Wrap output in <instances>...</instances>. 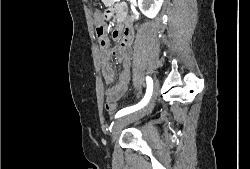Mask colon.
<instances>
[{
    "mask_svg": "<svg viewBox=\"0 0 250 169\" xmlns=\"http://www.w3.org/2000/svg\"><path fill=\"white\" fill-rule=\"evenodd\" d=\"M95 37H100V48H105V32L102 25L95 26ZM114 97H107L106 108H116Z\"/></svg>",
    "mask_w": 250,
    "mask_h": 169,
    "instance_id": "5ec220e1",
    "label": "colon"
}]
</instances>
